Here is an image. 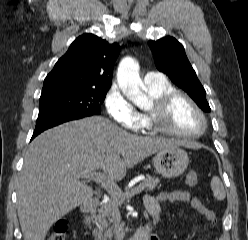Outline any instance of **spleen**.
I'll return each instance as SVG.
<instances>
[{
	"label": "spleen",
	"mask_w": 248,
	"mask_h": 240,
	"mask_svg": "<svg viewBox=\"0 0 248 240\" xmlns=\"http://www.w3.org/2000/svg\"><path fill=\"white\" fill-rule=\"evenodd\" d=\"M211 189L214 193L215 198L218 200H223L226 196L224 187L221 183L219 177L214 176L211 180Z\"/></svg>",
	"instance_id": "1"
}]
</instances>
